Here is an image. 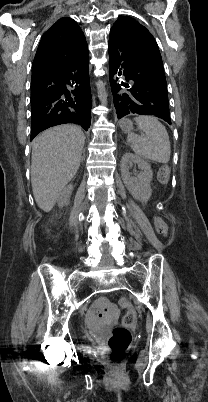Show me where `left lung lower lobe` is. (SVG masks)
<instances>
[{
    "label": "left lung lower lobe",
    "instance_id": "0a47b994",
    "mask_svg": "<svg viewBox=\"0 0 208 402\" xmlns=\"http://www.w3.org/2000/svg\"><path fill=\"white\" fill-rule=\"evenodd\" d=\"M116 28L109 37V79L118 119L129 115H154L171 124L167 90L136 72L135 45ZM125 81L119 82V76Z\"/></svg>",
    "mask_w": 208,
    "mask_h": 402
}]
</instances>
